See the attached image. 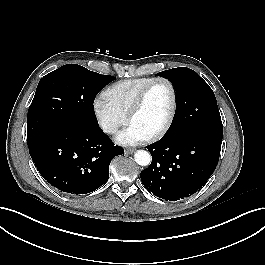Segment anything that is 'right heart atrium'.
<instances>
[{
  "label": "right heart atrium",
  "mask_w": 265,
  "mask_h": 265,
  "mask_svg": "<svg viewBox=\"0 0 265 265\" xmlns=\"http://www.w3.org/2000/svg\"><path fill=\"white\" fill-rule=\"evenodd\" d=\"M93 113L101 130L109 135H114L127 122V116L120 113L104 98H97L93 102Z\"/></svg>",
  "instance_id": "d8ad5b80"
}]
</instances>
